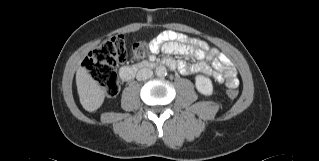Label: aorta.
Listing matches in <instances>:
<instances>
[{"instance_id":"762f6f07","label":"aorta","mask_w":319,"mask_h":161,"mask_svg":"<svg viewBox=\"0 0 319 161\" xmlns=\"http://www.w3.org/2000/svg\"><path fill=\"white\" fill-rule=\"evenodd\" d=\"M155 75L158 77H164L167 75V69L165 66H157L155 69Z\"/></svg>"}]
</instances>
